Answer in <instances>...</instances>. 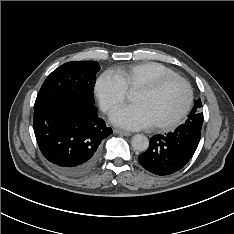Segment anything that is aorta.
Here are the masks:
<instances>
[{
	"label": "aorta",
	"mask_w": 234,
	"mask_h": 234,
	"mask_svg": "<svg viewBox=\"0 0 234 234\" xmlns=\"http://www.w3.org/2000/svg\"><path fill=\"white\" fill-rule=\"evenodd\" d=\"M131 145L133 149L137 151H146L149 146L148 138L143 134H136L131 140Z\"/></svg>",
	"instance_id": "obj_1"
}]
</instances>
